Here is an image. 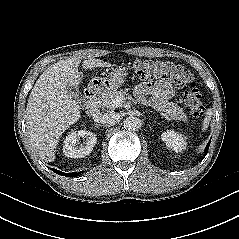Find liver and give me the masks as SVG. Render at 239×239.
<instances>
[{"label":"liver","instance_id":"obj_1","mask_svg":"<svg viewBox=\"0 0 239 239\" xmlns=\"http://www.w3.org/2000/svg\"><path fill=\"white\" fill-rule=\"evenodd\" d=\"M81 60L68 58L48 67L31 90L27 103L26 130L32 147L45 162L55 160L60 136L81 117L80 106L69 95V87H78ZM83 69L110 67L100 59L83 61Z\"/></svg>","mask_w":239,"mask_h":239}]
</instances>
